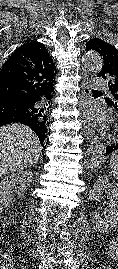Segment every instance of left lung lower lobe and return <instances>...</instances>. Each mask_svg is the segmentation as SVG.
Segmentation results:
<instances>
[{
  "label": "left lung lower lobe",
  "mask_w": 118,
  "mask_h": 269,
  "mask_svg": "<svg viewBox=\"0 0 118 269\" xmlns=\"http://www.w3.org/2000/svg\"><path fill=\"white\" fill-rule=\"evenodd\" d=\"M118 150V143L106 147V154H110L111 152Z\"/></svg>",
  "instance_id": "0a47b994"
}]
</instances>
